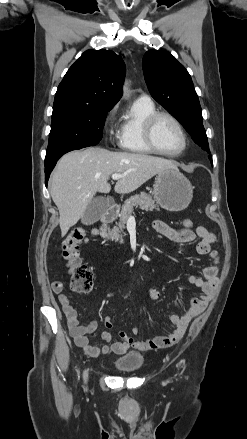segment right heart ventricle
Listing matches in <instances>:
<instances>
[{"label":"right heart ventricle","mask_w":247,"mask_h":439,"mask_svg":"<svg viewBox=\"0 0 247 439\" xmlns=\"http://www.w3.org/2000/svg\"><path fill=\"white\" fill-rule=\"evenodd\" d=\"M156 107L151 100L137 99L122 118L119 146L121 149L133 153H151L143 136L146 119L155 113Z\"/></svg>","instance_id":"obj_1"}]
</instances>
